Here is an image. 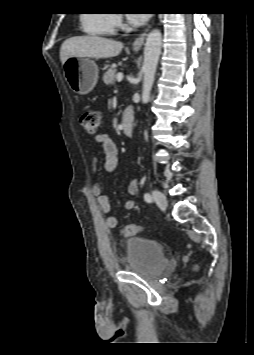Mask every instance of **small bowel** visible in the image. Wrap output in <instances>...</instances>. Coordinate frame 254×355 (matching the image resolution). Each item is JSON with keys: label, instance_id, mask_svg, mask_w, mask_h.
Instances as JSON below:
<instances>
[{"label": "small bowel", "instance_id": "1", "mask_svg": "<svg viewBox=\"0 0 254 355\" xmlns=\"http://www.w3.org/2000/svg\"><path fill=\"white\" fill-rule=\"evenodd\" d=\"M131 111L132 109L129 108ZM95 141L97 144H99L102 148V151L104 153V170L107 173H112L116 170L117 165H118V147L115 141L105 132L99 133ZM92 171L96 172L97 171V165H98V157L97 154L94 153L92 156ZM138 189V183L137 179L134 178L131 180V182L128 185V193L130 195H135L137 193ZM92 194L96 197L98 206L102 213L106 216L105 217V223L107 227L109 228H116L118 225V220L115 216L110 215L111 211V204L109 201V198L103 194L102 192V187L99 184H94L91 188ZM135 206V203L133 200H127L125 202V208L128 210L133 209Z\"/></svg>", "mask_w": 254, "mask_h": 355}]
</instances>
